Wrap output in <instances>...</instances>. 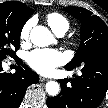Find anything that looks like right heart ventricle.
Wrapping results in <instances>:
<instances>
[{
  "label": "right heart ventricle",
  "instance_id": "right-heart-ventricle-1",
  "mask_svg": "<svg viewBox=\"0 0 108 108\" xmlns=\"http://www.w3.org/2000/svg\"><path fill=\"white\" fill-rule=\"evenodd\" d=\"M46 21L54 33L66 32L69 29V21L62 14L50 13Z\"/></svg>",
  "mask_w": 108,
  "mask_h": 108
}]
</instances>
